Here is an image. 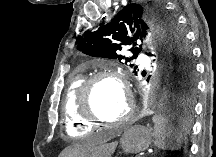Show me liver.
Wrapping results in <instances>:
<instances>
[{"mask_svg":"<svg viewBox=\"0 0 216 157\" xmlns=\"http://www.w3.org/2000/svg\"><path fill=\"white\" fill-rule=\"evenodd\" d=\"M109 146L106 144H95L93 142H84L74 144L66 148L60 157H106L109 155Z\"/></svg>","mask_w":216,"mask_h":157,"instance_id":"obj_1","label":"liver"}]
</instances>
